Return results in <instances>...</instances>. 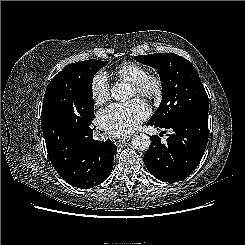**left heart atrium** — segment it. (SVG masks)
<instances>
[{
  "label": "left heart atrium",
  "instance_id": "39dd6f15",
  "mask_svg": "<svg viewBox=\"0 0 245 245\" xmlns=\"http://www.w3.org/2000/svg\"><path fill=\"white\" fill-rule=\"evenodd\" d=\"M148 115L147 105L136 98L128 103L110 105L99 113L98 120L109 134L126 136L137 129Z\"/></svg>",
  "mask_w": 245,
  "mask_h": 245
}]
</instances>
